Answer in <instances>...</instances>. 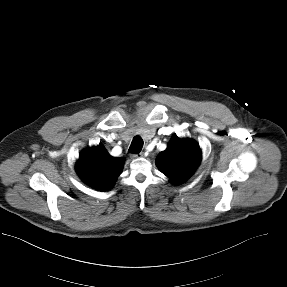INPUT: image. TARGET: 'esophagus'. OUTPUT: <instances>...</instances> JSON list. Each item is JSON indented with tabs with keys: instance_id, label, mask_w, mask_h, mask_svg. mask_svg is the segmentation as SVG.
<instances>
[{
	"instance_id": "obj_1",
	"label": "esophagus",
	"mask_w": 287,
	"mask_h": 287,
	"mask_svg": "<svg viewBox=\"0 0 287 287\" xmlns=\"http://www.w3.org/2000/svg\"><path fill=\"white\" fill-rule=\"evenodd\" d=\"M132 156L134 158H141V157H143V153L141 152V153L133 154Z\"/></svg>"
}]
</instances>
